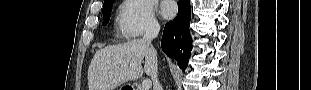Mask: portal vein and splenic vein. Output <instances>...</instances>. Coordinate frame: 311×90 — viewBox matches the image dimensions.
Listing matches in <instances>:
<instances>
[{
	"label": "portal vein and splenic vein",
	"mask_w": 311,
	"mask_h": 90,
	"mask_svg": "<svg viewBox=\"0 0 311 90\" xmlns=\"http://www.w3.org/2000/svg\"><path fill=\"white\" fill-rule=\"evenodd\" d=\"M152 86V83L149 79H144L142 82V90H149Z\"/></svg>",
	"instance_id": "obj_1"
}]
</instances>
